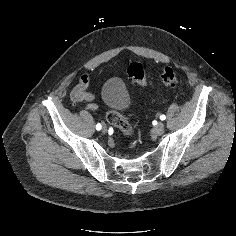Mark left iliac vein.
Returning <instances> with one entry per match:
<instances>
[{"label":"left iliac vein","instance_id":"4c4485c4","mask_svg":"<svg viewBox=\"0 0 236 236\" xmlns=\"http://www.w3.org/2000/svg\"><path fill=\"white\" fill-rule=\"evenodd\" d=\"M164 129H165L164 123L159 122V123L154 127L153 132H154L156 135H161V134H163Z\"/></svg>","mask_w":236,"mask_h":236}]
</instances>
